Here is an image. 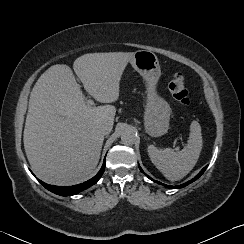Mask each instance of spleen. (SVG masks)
<instances>
[{"instance_id":"3e777b00","label":"spleen","mask_w":244,"mask_h":244,"mask_svg":"<svg viewBox=\"0 0 244 244\" xmlns=\"http://www.w3.org/2000/svg\"><path fill=\"white\" fill-rule=\"evenodd\" d=\"M202 145L201 126L197 121H192L187 145L181 151L160 149L154 145H149L147 151L151 162L168 180L178 181L196 165Z\"/></svg>"}]
</instances>
